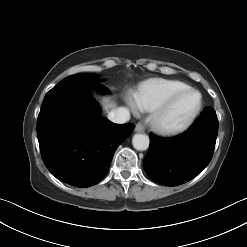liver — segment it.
<instances>
[{"label": "liver", "mask_w": 247, "mask_h": 247, "mask_svg": "<svg viewBox=\"0 0 247 247\" xmlns=\"http://www.w3.org/2000/svg\"><path fill=\"white\" fill-rule=\"evenodd\" d=\"M103 104H104V107H105L106 109H108V108H110V107L113 106V104H112L111 102H109V99H107V98H104V99H103Z\"/></svg>", "instance_id": "1"}]
</instances>
